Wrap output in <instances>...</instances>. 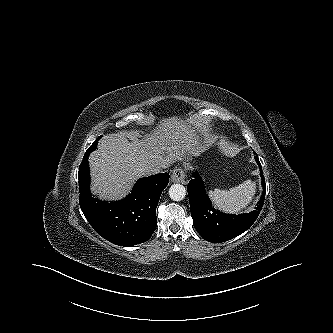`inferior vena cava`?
Wrapping results in <instances>:
<instances>
[{
    "mask_svg": "<svg viewBox=\"0 0 333 333\" xmlns=\"http://www.w3.org/2000/svg\"><path fill=\"white\" fill-rule=\"evenodd\" d=\"M167 167L168 165L166 163H151L146 166V172L150 174H158L162 173Z\"/></svg>",
    "mask_w": 333,
    "mask_h": 333,
    "instance_id": "obj_1",
    "label": "inferior vena cava"
}]
</instances>
